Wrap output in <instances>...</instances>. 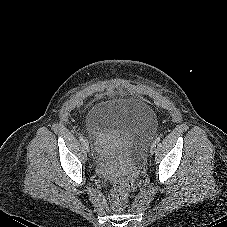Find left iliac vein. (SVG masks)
<instances>
[{"label":"left iliac vein","mask_w":227,"mask_h":227,"mask_svg":"<svg viewBox=\"0 0 227 227\" xmlns=\"http://www.w3.org/2000/svg\"><path fill=\"white\" fill-rule=\"evenodd\" d=\"M156 146H157L156 142H153V143L151 144V146H150V153H151V154L154 153V151H155V149H156Z\"/></svg>","instance_id":"obj_1"}]
</instances>
